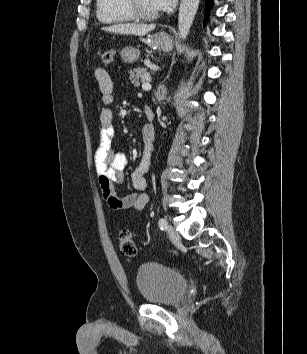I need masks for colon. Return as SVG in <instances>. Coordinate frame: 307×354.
<instances>
[{"mask_svg":"<svg viewBox=\"0 0 307 354\" xmlns=\"http://www.w3.org/2000/svg\"><path fill=\"white\" fill-rule=\"evenodd\" d=\"M114 52L112 50L105 51L102 54V62L105 65H109L114 60ZM118 244L121 253L127 257H134L137 254V248L134 243L131 232L128 229H123L120 231L118 236Z\"/></svg>","mask_w":307,"mask_h":354,"instance_id":"5ec220e1","label":"colon"}]
</instances>
